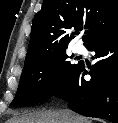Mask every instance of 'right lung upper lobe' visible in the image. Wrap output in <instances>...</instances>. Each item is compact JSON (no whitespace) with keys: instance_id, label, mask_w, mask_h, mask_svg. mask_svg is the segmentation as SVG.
<instances>
[{"instance_id":"1","label":"right lung upper lobe","mask_w":118,"mask_h":123,"mask_svg":"<svg viewBox=\"0 0 118 123\" xmlns=\"http://www.w3.org/2000/svg\"><path fill=\"white\" fill-rule=\"evenodd\" d=\"M84 46L118 33V0H44L35 15L25 65L66 49L82 29ZM77 30L70 33V30Z\"/></svg>"}]
</instances>
